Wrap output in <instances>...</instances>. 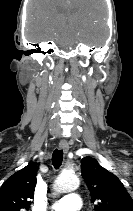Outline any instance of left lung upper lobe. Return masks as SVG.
<instances>
[{"label": "left lung upper lobe", "mask_w": 133, "mask_h": 211, "mask_svg": "<svg viewBox=\"0 0 133 211\" xmlns=\"http://www.w3.org/2000/svg\"><path fill=\"white\" fill-rule=\"evenodd\" d=\"M81 172L95 211H133V199L121 181L96 159L83 158Z\"/></svg>", "instance_id": "left-lung-upper-lobe-1"}]
</instances>
